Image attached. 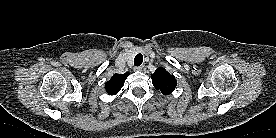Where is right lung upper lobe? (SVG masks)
<instances>
[{
    "instance_id": "right-lung-upper-lobe-1",
    "label": "right lung upper lobe",
    "mask_w": 276,
    "mask_h": 138,
    "mask_svg": "<svg viewBox=\"0 0 276 138\" xmlns=\"http://www.w3.org/2000/svg\"><path fill=\"white\" fill-rule=\"evenodd\" d=\"M129 74H114L111 79L105 83L106 92L109 95H115L123 87L124 82Z\"/></svg>"
}]
</instances>
